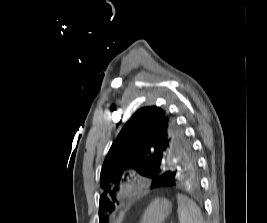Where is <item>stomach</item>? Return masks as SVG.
<instances>
[{
    "instance_id": "obj_1",
    "label": "stomach",
    "mask_w": 267,
    "mask_h": 223,
    "mask_svg": "<svg viewBox=\"0 0 267 223\" xmlns=\"http://www.w3.org/2000/svg\"><path fill=\"white\" fill-rule=\"evenodd\" d=\"M172 209L171 203L165 199H155L145 210L141 223H163Z\"/></svg>"
}]
</instances>
